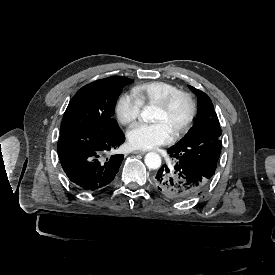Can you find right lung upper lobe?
I'll return each mask as SVG.
<instances>
[{
	"label": "right lung upper lobe",
	"mask_w": 275,
	"mask_h": 275,
	"mask_svg": "<svg viewBox=\"0 0 275 275\" xmlns=\"http://www.w3.org/2000/svg\"><path fill=\"white\" fill-rule=\"evenodd\" d=\"M115 78H126V77H115Z\"/></svg>",
	"instance_id": "obj_1"
}]
</instances>
